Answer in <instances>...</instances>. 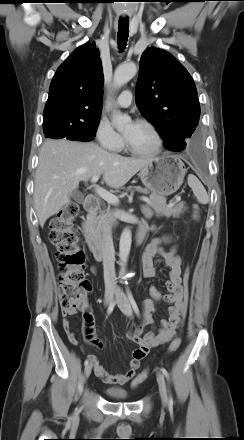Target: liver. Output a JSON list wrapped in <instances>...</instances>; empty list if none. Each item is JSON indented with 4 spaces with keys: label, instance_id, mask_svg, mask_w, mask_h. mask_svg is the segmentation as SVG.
<instances>
[{
    "label": "liver",
    "instance_id": "1",
    "mask_svg": "<svg viewBox=\"0 0 244 440\" xmlns=\"http://www.w3.org/2000/svg\"><path fill=\"white\" fill-rule=\"evenodd\" d=\"M153 159L123 157L93 142L45 141L39 153L33 194L40 226L70 203L80 181L103 175L109 187L119 189Z\"/></svg>",
    "mask_w": 244,
    "mask_h": 440
}]
</instances>
